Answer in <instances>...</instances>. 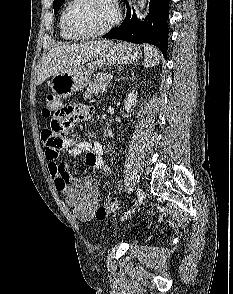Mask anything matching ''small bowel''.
<instances>
[{
  "instance_id": "1",
  "label": "small bowel",
  "mask_w": 233,
  "mask_h": 294,
  "mask_svg": "<svg viewBox=\"0 0 233 294\" xmlns=\"http://www.w3.org/2000/svg\"><path fill=\"white\" fill-rule=\"evenodd\" d=\"M92 114L91 103L63 104L61 110H53L52 117H48L47 120L49 126L41 133L45 156L49 161V172L55 187L65 196V201L72 208L74 215L84 222L91 221L95 216L99 184L91 176L72 177L68 172L67 162L59 160V154L72 156L85 154V162L88 166L103 171L106 176L111 175L100 142L68 140V137H74L72 126H78V122L91 120Z\"/></svg>"
}]
</instances>
